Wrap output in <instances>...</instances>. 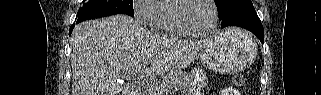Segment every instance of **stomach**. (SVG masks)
Segmentation results:
<instances>
[{
  "label": "stomach",
  "mask_w": 321,
  "mask_h": 95,
  "mask_svg": "<svg viewBox=\"0 0 321 95\" xmlns=\"http://www.w3.org/2000/svg\"><path fill=\"white\" fill-rule=\"evenodd\" d=\"M257 45L249 33L227 29L208 40L200 50L202 64L215 72L234 73L255 58Z\"/></svg>",
  "instance_id": "stomach-1"
}]
</instances>
